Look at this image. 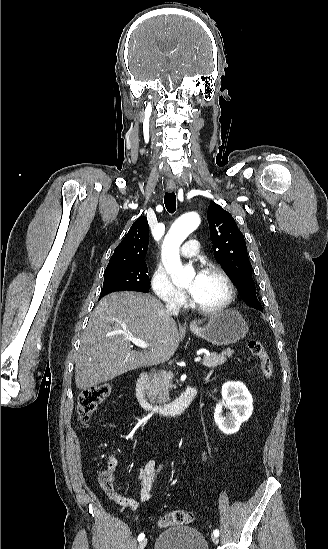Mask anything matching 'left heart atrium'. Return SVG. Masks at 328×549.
<instances>
[{
  "mask_svg": "<svg viewBox=\"0 0 328 549\" xmlns=\"http://www.w3.org/2000/svg\"><path fill=\"white\" fill-rule=\"evenodd\" d=\"M199 278V274H196V281H195V284L191 287V289L188 290V292L190 293V295L192 296L195 292V286H196V282Z\"/></svg>",
  "mask_w": 328,
  "mask_h": 549,
  "instance_id": "left-heart-atrium-1",
  "label": "left heart atrium"
}]
</instances>
